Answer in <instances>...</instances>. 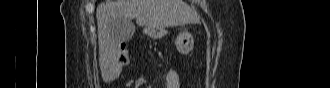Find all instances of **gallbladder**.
Returning a JSON list of instances; mask_svg holds the SVG:
<instances>
[{"label": "gallbladder", "instance_id": "obj_1", "mask_svg": "<svg viewBox=\"0 0 330 88\" xmlns=\"http://www.w3.org/2000/svg\"><path fill=\"white\" fill-rule=\"evenodd\" d=\"M115 32L118 33L120 42L128 41L134 35L135 26L132 21L121 22L116 25Z\"/></svg>", "mask_w": 330, "mask_h": 88}]
</instances>
